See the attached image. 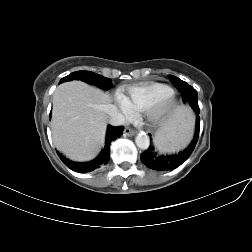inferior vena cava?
<instances>
[{"label":"inferior vena cava","instance_id":"inferior-vena-cava-1","mask_svg":"<svg viewBox=\"0 0 252 252\" xmlns=\"http://www.w3.org/2000/svg\"><path fill=\"white\" fill-rule=\"evenodd\" d=\"M105 112L108 114L109 124L113 126H121L125 124L124 116L116 109V107L112 104H108L105 106Z\"/></svg>","mask_w":252,"mask_h":252}]
</instances>
